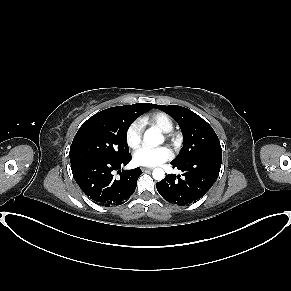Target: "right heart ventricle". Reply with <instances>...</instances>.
Masks as SVG:
<instances>
[{
  "label": "right heart ventricle",
  "instance_id": "obj_1",
  "mask_svg": "<svg viewBox=\"0 0 291 291\" xmlns=\"http://www.w3.org/2000/svg\"><path fill=\"white\" fill-rule=\"evenodd\" d=\"M143 123L150 124L164 133H169L173 130L174 122L172 118L165 112H153L147 114L143 119Z\"/></svg>",
  "mask_w": 291,
  "mask_h": 291
}]
</instances>
